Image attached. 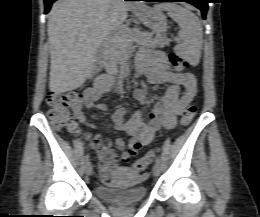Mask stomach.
<instances>
[{"label":"stomach","instance_id":"stomach-1","mask_svg":"<svg viewBox=\"0 0 260 217\" xmlns=\"http://www.w3.org/2000/svg\"><path fill=\"white\" fill-rule=\"evenodd\" d=\"M134 12L138 19L153 31L163 32L167 30L166 17L158 6L141 5L134 9Z\"/></svg>","mask_w":260,"mask_h":217}]
</instances>
